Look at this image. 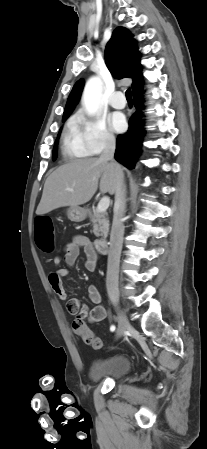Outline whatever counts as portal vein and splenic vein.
I'll return each instance as SVG.
<instances>
[{
    "mask_svg": "<svg viewBox=\"0 0 207 449\" xmlns=\"http://www.w3.org/2000/svg\"><path fill=\"white\" fill-rule=\"evenodd\" d=\"M110 204V199L107 196H104L103 198H101L100 202L98 203L97 206V211L99 212H105Z\"/></svg>",
    "mask_w": 207,
    "mask_h": 449,
    "instance_id": "1",
    "label": "portal vein and splenic vein"
}]
</instances>
